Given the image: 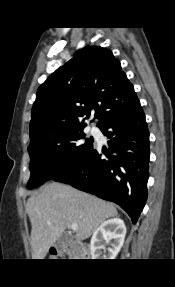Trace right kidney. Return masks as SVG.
I'll use <instances>...</instances> for the list:
<instances>
[{
	"label": "right kidney",
	"instance_id": "right-kidney-1",
	"mask_svg": "<svg viewBox=\"0 0 175 287\" xmlns=\"http://www.w3.org/2000/svg\"><path fill=\"white\" fill-rule=\"evenodd\" d=\"M126 235L124 221L112 218L103 222L91 238L92 259H115L121 250ZM106 244L110 247L106 249Z\"/></svg>",
	"mask_w": 175,
	"mask_h": 287
}]
</instances>
